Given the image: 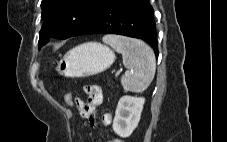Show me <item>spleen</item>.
Returning a JSON list of instances; mask_svg holds the SVG:
<instances>
[{"label":"spleen","mask_w":227,"mask_h":142,"mask_svg":"<svg viewBox=\"0 0 227 142\" xmlns=\"http://www.w3.org/2000/svg\"><path fill=\"white\" fill-rule=\"evenodd\" d=\"M103 42L122 54L123 65L127 68L121 78L125 92H143L152 82L156 61L153 50L141 40L119 35H106Z\"/></svg>","instance_id":"obj_1"}]
</instances>
